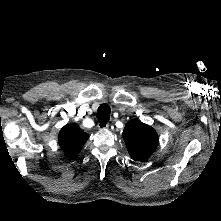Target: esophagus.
<instances>
[{
    "mask_svg": "<svg viewBox=\"0 0 221 221\" xmlns=\"http://www.w3.org/2000/svg\"><path fill=\"white\" fill-rule=\"evenodd\" d=\"M97 127L100 129V130H104V129H108L109 128V124L107 122H99L97 124Z\"/></svg>",
    "mask_w": 221,
    "mask_h": 221,
    "instance_id": "34e87169",
    "label": "esophagus"
}]
</instances>
